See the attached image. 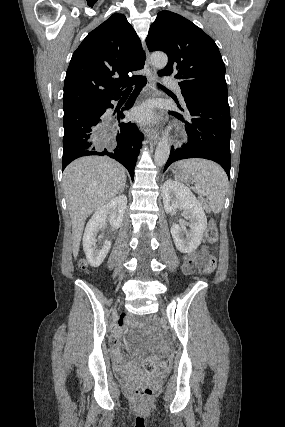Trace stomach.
<instances>
[{"label": "stomach", "mask_w": 285, "mask_h": 427, "mask_svg": "<svg viewBox=\"0 0 285 427\" xmlns=\"http://www.w3.org/2000/svg\"><path fill=\"white\" fill-rule=\"evenodd\" d=\"M173 172H174L175 178L183 183L190 184L196 181L193 174L186 168H178Z\"/></svg>", "instance_id": "stomach-1"}]
</instances>
